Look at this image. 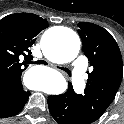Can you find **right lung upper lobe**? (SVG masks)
Instances as JSON below:
<instances>
[{"instance_id":"cb5924a9","label":"right lung upper lobe","mask_w":124,"mask_h":124,"mask_svg":"<svg viewBox=\"0 0 124 124\" xmlns=\"http://www.w3.org/2000/svg\"><path fill=\"white\" fill-rule=\"evenodd\" d=\"M47 27L45 19L32 13L11 14L0 20V88L21 83L22 72L33 59L30 47Z\"/></svg>"}]
</instances>
